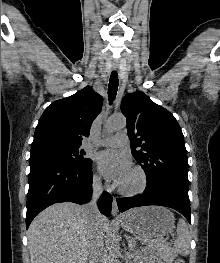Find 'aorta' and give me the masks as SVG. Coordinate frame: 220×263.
Returning <instances> with one entry per match:
<instances>
[{"label":"aorta","mask_w":220,"mask_h":263,"mask_svg":"<svg viewBox=\"0 0 220 263\" xmlns=\"http://www.w3.org/2000/svg\"><path fill=\"white\" fill-rule=\"evenodd\" d=\"M126 127V119L123 116H116L109 119L107 129L109 131L121 130ZM109 257L113 262L117 261L119 256V240L115 228H111L107 237Z\"/></svg>","instance_id":"1"}]
</instances>
